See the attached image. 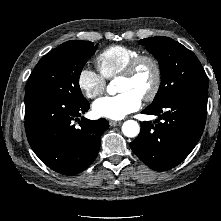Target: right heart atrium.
<instances>
[{
  "label": "right heart atrium",
  "instance_id": "d8ad5b80",
  "mask_svg": "<svg viewBox=\"0 0 221 221\" xmlns=\"http://www.w3.org/2000/svg\"><path fill=\"white\" fill-rule=\"evenodd\" d=\"M77 85L81 93L89 98L95 99L106 90V78L90 67H83L77 77Z\"/></svg>",
  "mask_w": 221,
  "mask_h": 221
}]
</instances>
